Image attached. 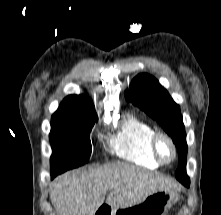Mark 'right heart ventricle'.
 Returning a JSON list of instances; mask_svg holds the SVG:
<instances>
[{
    "mask_svg": "<svg viewBox=\"0 0 221 215\" xmlns=\"http://www.w3.org/2000/svg\"><path fill=\"white\" fill-rule=\"evenodd\" d=\"M155 131L150 123L134 112L125 114L120 129L107 136L110 151L129 162L154 168L158 165L151 151Z\"/></svg>",
    "mask_w": 221,
    "mask_h": 215,
    "instance_id": "e07e8e85",
    "label": "right heart ventricle"
}]
</instances>
